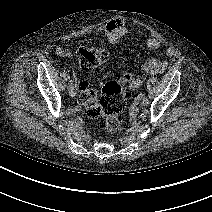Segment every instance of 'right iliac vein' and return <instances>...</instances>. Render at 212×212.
Listing matches in <instances>:
<instances>
[{
	"instance_id": "right-iliac-vein-1",
	"label": "right iliac vein",
	"mask_w": 212,
	"mask_h": 212,
	"mask_svg": "<svg viewBox=\"0 0 212 212\" xmlns=\"http://www.w3.org/2000/svg\"><path fill=\"white\" fill-rule=\"evenodd\" d=\"M69 95L71 97H75L76 96V91H75V89L73 87L71 89H69Z\"/></svg>"
}]
</instances>
